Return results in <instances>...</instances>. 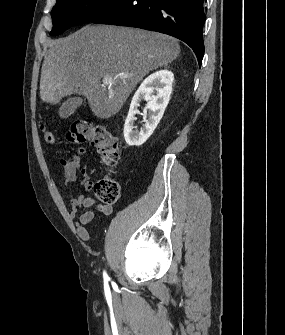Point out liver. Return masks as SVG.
<instances>
[{"instance_id": "6515ba94", "label": "liver", "mask_w": 285, "mask_h": 335, "mask_svg": "<svg viewBox=\"0 0 285 335\" xmlns=\"http://www.w3.org/2000/svg\"><path fill=\"white\" fill-rule=\"evenodd\" d=\"M42 64L40 98L59 104L62 98L78 94L87 100L96 118L108 120L120 112L138 82L176 60L180 54L177 40L123 26H83L68 38L49 40ZM129 74L111 84L104 76Z\"/></svg>"}]
</instances>
